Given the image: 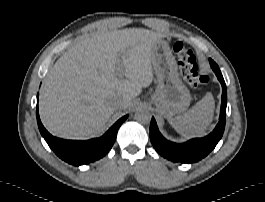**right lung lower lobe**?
Here are the masks:
<instances>
[{
    "label": "right lung lower lobe",
    "mask_w": 265,
    "mask_h": 202,
    "mask_svg": "<svg viewBox=\"0 0 265 202\" xmlns=\"http://www.w3.org/2000/svg\"><path fill=\"white\" fill-rule=\"evenodd\" d=\"M37 95V100H38ZM37 123L41 135L46 140L49 147L55 152V154L62 160L79 166L96 161L105 156L112 148L117 131L121 124L128 117L127 115L119 119L102 137L95 138L87 141L76 140H64L52 136L42 125L39 113L38 105L36 109Z\"/></svg>",
    "instance_id": "1"
}]
</instances>
